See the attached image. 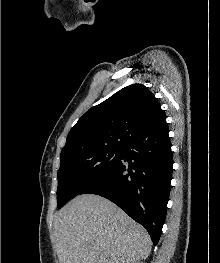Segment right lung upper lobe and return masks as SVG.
Wrapping results in <instances>:
<instances>
[{
	"label": "right lung upper lobe",
	"mask_w": 220,
	"mask_h": 263,
	"mask_svg": "<svg viewBox=\"0 0 220 263\" xmlns=\"http://www.w3.org/2000/svg\"><path fill=\"white\" fill-rule=\"evenodd\" d=\"M167 132L158 100L144 85L133 84L89 109L70 130L61 155L105 147L124 149L136 139Z\"/></svg>",
	"instance_id": "right-lung-upper-lobe-1"
}]
</instances>
